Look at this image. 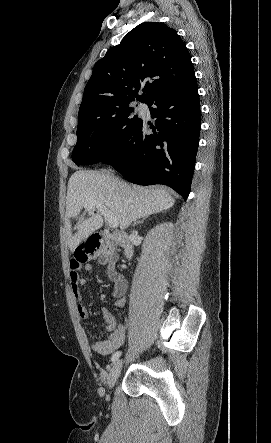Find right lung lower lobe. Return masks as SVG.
I'll return each instance as SVG.
<instances>
[{
	"label": "right lung lower lobe",
	"mask_w": 271,
	"mask_h": 443,
	"mask_svg": "<svg viewBox=\"0 0 271 443\" xmlns=\"http://www.w3.org/2000/svg\"><path fill=\"white\" fill-rule=\"evenodd\" d=\"M155 120L147 135L142 121L106 162L136 184H165L187 199L194 173L201 124L196 79L163 91L148 103ZM153 105L154 107H151ZM155 128L158 130L155 131Z\"/></svg>",
	"instance_id": "1"
}]
</instances>
